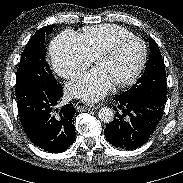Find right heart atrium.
Wrapping results in <instances>:
<instances>
[{
    "label": "right heart atrium",
    "instance_id": "d8ad5b80",
    "mask_svg": "<svg viewBox=\"0 0 183 183\" xmlns=\"http://www.w3.org/2000/svg\"><path fill=\"white\" fill-rule=\"evenodd\" d=\"M50 56L54 70L65 79L79 77L92 62L79 36L69 31L54 38L50 46Z\"/></svg>",
    "mask_w": 183,
    "mask_h": 183
}]
</instances>
